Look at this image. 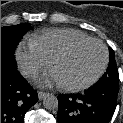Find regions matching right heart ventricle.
Here are the masks:
<instances>
[{"mask_svg":"<svg viewBox=\"0 0 123 123\" xmlns=\"http://www.w3.org/2000/svg\"><path fill=\"white\" fill-rule=\"evenodd\" d=\"M91 37L82 31L72 28H53L35 34L29 44L39 50L49 61L70 44Z\"/></svg>","mask_w":123,"mask_h":123,"instance_id":"e07e8e85","label":"right heart ventricle"}]
</instances>
